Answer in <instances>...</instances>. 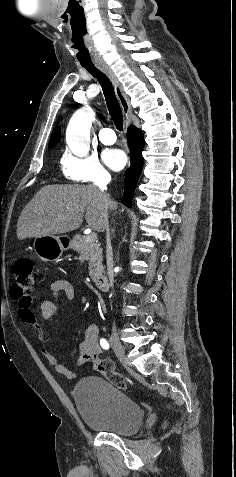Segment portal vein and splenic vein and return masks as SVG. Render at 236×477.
<instances>
[{"mask_svg": "<svg viewBox=\"0 0 236 477\" xmlns=\"http://www.w3.org/2000/svg\"><path fill=\"white\" fill-rule=\"evenodd\" d=\"M96 238H97V234L92 232L86 236V242L94 241L96 240Z\"/></svg>", "mask_w": 236, "mask_h": 477, "instance_id": "portal-vein-and-splenic-vein-1", "label": "portal vein and splenic vein"}]
</instances>
